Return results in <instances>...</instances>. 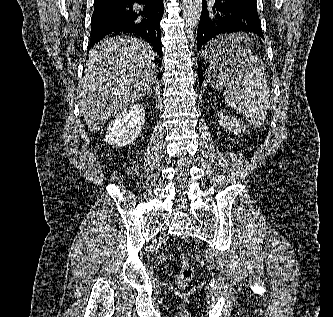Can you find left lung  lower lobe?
I'll return each mask as SVG.
<instances>
[{"label": "left lung lower lobe", "instance_id": "0a47b994", "mask_svg": "<svg viewBox=\"0 0 333 317\" xmlns=\"http://www.w3.org/2000/svg\"><path fill=\"white\" fill-rule=\"evenodd\" d=\"M235 32H252L264 39L256 0H215L212 3L203 0L197 30L198 52L213 37ZM230 55L232 53L222 43L203 52V58L197 61L200 87L206 78L207 68L230 58Z\"/></svg>", "mask_w": 333, "mask_h": 317}]
</instances>
